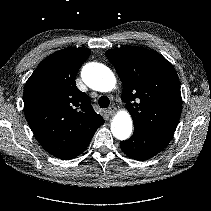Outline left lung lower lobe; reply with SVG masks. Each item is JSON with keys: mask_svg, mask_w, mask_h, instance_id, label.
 Listing matches in <instances>:
<instances>
[{"mask_svg": "<svg viewBox=\"0 0 211 211\" xmlns=\"http://www.w3.org/2000/svg\"><path fill=\"white\" fill-rule=\"evenodd\" d=\"M173 133L134 129V134L120 142L122 151L132 159L143 161L162 151L170 142Z\"/></svg>", "mask_w": 211, "mask_h": 211, "instance_id": "left-lung-lower-lobe-1", "label": "left lung lower lobe"}]
</instances>
